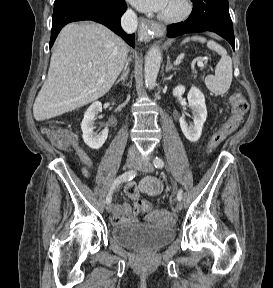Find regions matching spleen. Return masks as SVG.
I'll return each instance as SVG.
<instances>
[{"instance_id":"obj_1","label":"spleen","mask_w":273,"mask_h":288,"mask_svg":"<svg viewBox=\"0 0 273 288\" xmlns=\"http://www.w3.org/2000/svg\"><path fill=\"white\" fill-rule=\"evenodd\" d=\"M199 41L201 43L207 42V47L219 55H221L220 61L215 67V75H209L205 79L207 88L215 95H223L228 91L232 82V60L227 54L226 49L213 40L207 41L206 38L200 36L187 37L182 41V44L188 41Z\"/></svg>"}]
</instances>
